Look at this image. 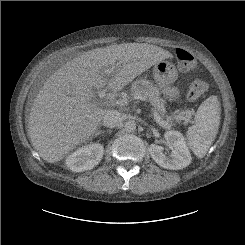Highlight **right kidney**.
Here are the masks:
<instances>
[{"mask_svg":"<svg viewBox=\"0 0 245 245\" xmlns=\"http://www.w3.org/2000/svg\"><path fill=\"white\" fill-rule=\"evenodd\" d=\"M104 147L99 144H90L77 149L66 160V166L74 172H82L92 169L102 159Z\"/></svg>","mask_w":245,"mask_h":245,"instance_id":"right-kidney-1","label":"right kidney"}]
</instances>
